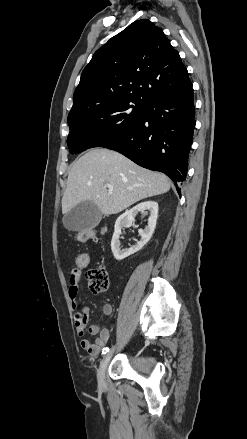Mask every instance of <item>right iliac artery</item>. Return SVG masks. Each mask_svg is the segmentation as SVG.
Returning a JSON list of instances; mask_svg holds the SVG:
<instances>
[{
    "label": "right iliac artery",
    "instance_id": "right-iliac-artery-1",
    "mask_svg": "<svg viewBox=\"0 0 247 439\" xmlns=\"http://www.w3.org/2000/svg\"><path fill=\"white\" fill-rule=\"evenodd\" d=\"M108 351H109V348H108V347H104V348L102 349V354L104 355V354H106Z\"/></svg>",
    "mask_w": 247,
    "mask_h": 439
}]
</instances>
